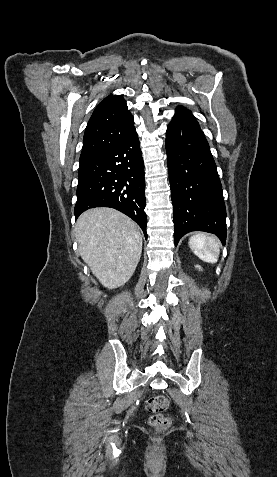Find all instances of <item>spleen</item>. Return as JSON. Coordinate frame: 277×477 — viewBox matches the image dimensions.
I'll return each mask as SVG.
<instances>
[{
	"label": "spleen",
	"mask_w": 277,
	"mask_h": 477,
	"mask_svg": "<svg viewBox=\"0 0 277 477\" xmlns=\"http://www.w3.org/2000/svg\"><path fill=\"white\" fill-rule=\"evenodd\" d=\"M189 246L196 256L208 263H216L219 258V242L213 236L198 233L189 239Z\"/></svg>",
	"instance_id": "3e777b00"
}]
</instances>
